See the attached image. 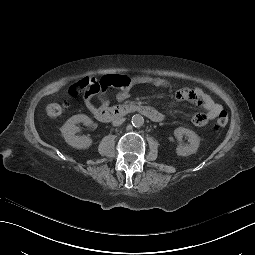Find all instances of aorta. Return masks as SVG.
<instances>
[{
	"label": "aorta",
	"instance_id": "aorta-1",
	"mask_svg": "<svg viewBox=\"0 0 255 255\" xmlns=\"http://www.w3.org/2000/svg\"><path fill=\"white\" fill-rule=\"evenodd\" d=\"M131 122L134 127L139 128L143 126L144 118L139 114H135L132 116Z\"/></svg>",
	"mask_w": 255,
	"mask_h": 255
}]
</instances>
